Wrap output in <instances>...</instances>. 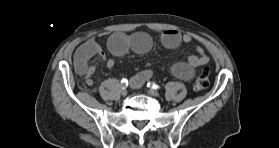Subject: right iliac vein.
<instances>
[{
    "mask_svg": "<svg viewBox=\"0 0 279 148\" xmlns=\"http://www.w3.org/2000/svg\"><path fill=\"white\" fill-rule=\"evenodd\" d=\"M121 95L122 96H126L127 95V90L125 88L121 89Z\"/></svg>",
    "mask_w": 279,
    "mask_h": 148,
    "instance_id": "63e3f726",
    "label": "right iliac vein"
}]
</instances>
